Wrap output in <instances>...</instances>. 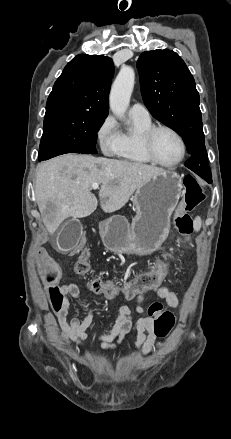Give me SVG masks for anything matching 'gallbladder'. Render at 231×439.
Masks as SVG:
<instances>
[{
  "label": "gallbladder",
  "mask_w": 231,
  "mask_h": 439,
  "mask_svg": "<svg viewBox=\"0 0 231 439\" xmlns=\"http://www.w3.org/2000/svg\"><path fill=\"white\" fill-rule=\"evenodd\" d=\"M82 235V224L78 219L66 222L57 232L55 246L60 252H67L76 247Z\"/></svg>",
  "instance_id": "1"
}]
</instances>
